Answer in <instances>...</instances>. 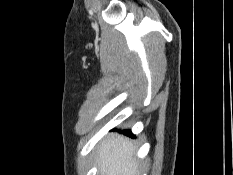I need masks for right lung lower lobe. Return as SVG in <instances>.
<instances>
[{"instance_id":"1","label":"right lung lower lobe","mask_w":233,"mask_h":175,"mask_svg":"<svg viewBox=\"0 0 233 175\" xmlns=\"http://www.w3.org/2000/svg\"><path fill=\"white\" fill-rule=\"evenodd\" d=\"M123 133H125L126 135L133 136L130 130L123 131Z\"/></svg>"}]
</instances>
